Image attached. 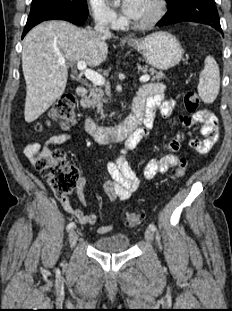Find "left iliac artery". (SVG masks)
<instances>
[{"mask_svg":"<svg viewBox=\"0 0 232 311\" xmlns=\"http://www.w3.org/2000/svg\"><path fill=\"white\" fill-rule=\"evenodd\" d=\"M149 229L150 230H152L153 232L156 230V227H155V225L153 224V223H151L150 225H149Z\"/></svg>","mask_w":232,"mask_h":311,"instance_id":"left-iliac-artery-1","label":"left iliac artery"}]
</instances>
